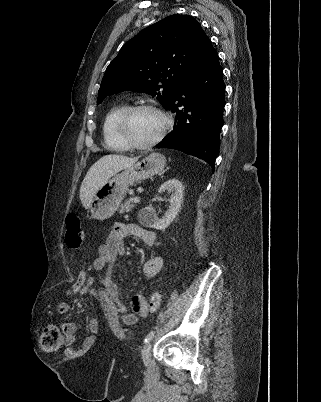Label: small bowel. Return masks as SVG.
Masks as SVG:
<instances>
[{
  "instance_id": "1",
  "label": "small bowel",
  "mask_w": 321,
  "mask_h": 402,
  "mask_svg": "<svg viewBox=\"0 0 321 402\" xmlns=\"http://www.w3.org/2000/svg\"><path fill=\"white\" fill-rule=\"evenodd\" d=\"M126 237L140 238L146 245L153 246L156 243V234L152 230L141 227L136 223H118L112 231L106 236L103 244L97 248V254L92 261L91 268L94 272L105 271L100 278V282L108 294L110 300L118 307L122 314L123 322L126 325H134L137 322V316L128 311L122 303L119 291L112 277V269L119 257L125 253L124 239ZM164 258L155 255L148 258L142 268L145 278L152 279L162 269ZM93 278L89 277L86 284L92 283ZM145 301L142 294H135L131 299V306L139 301ZM53 308L56 313L65 315L70 311V305L67 303H54ZM133 308V307H132ZM134 310V309H133ZM146 314V313H145ZM141 314V315H145ZM99 323L91 321L87 328V334L84 336V344L74 345L76 341V324L72 322H63L61 327L65 336V353L70 358H83L84 353L88 352V347H93L100 333Z\"/></svg>"
}]
</instances>
